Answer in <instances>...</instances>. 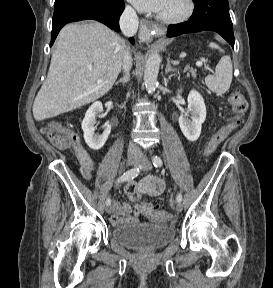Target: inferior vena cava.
<instances>
[{"label": "inferior vena cava", "mask_w": 273, "mask_h": 288, "mask_svg": "<svg viewBox=\"0 0 273 288\" xmlns=\"http://www.w3.org/2000/svg\"><path fill=\"white\" fill-rule=\"evenodd\" d=\"M138 24L139 22H138L136 11L132 7L127 6L120 17L121 31L123 32L125 36L132 37L137 32ZM131 67H132V58L127 48L124 54L123 65H122L125 75L129 73V70L131 69ZM128 153L129 154L141 153V149L136 143L130 142Z\"/></svg>", "instance_id": "inferior-vena-cava-1"}]
</instances>
